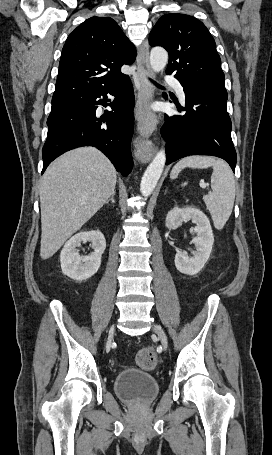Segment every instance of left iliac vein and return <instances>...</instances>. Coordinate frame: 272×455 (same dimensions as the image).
Here are the masks:
<instances>
[{
  "label": "left iliac vein",
  "instance_id": "1",
  "mask_svg": "<svg viewBox=\"0 0 272 455\" xmlns=\"http://www.w3.org/2000/svg\"><path fill=\"white\" fill-rule=\"evenodd\" d=\"M153 331L158 336V338H159L164 350H167L168 341H167V337H166L164 331L162 330V328L159 327L158 325H154L153 326Z\"/></svg>",
  "mask_w": 272,
  "mask_h": 455
}]
</instances>
